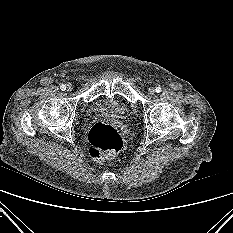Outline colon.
Listing matches in <instances>:
<instances>
[{
    "label": "colon",
    "instance_id": "colon-1",
    "mask_svg": "<svg viewBox=\"0 0 233 233\" xmlns=\"http://www.w3.org/2000/svg\"><path fill=\"white\" fill-rule=\"evenodd\" d=\"M90 155L94 160L111 158L123 147V140L118 131L110 124L97 122L89 131Z\"/></svg>",
    "mask_w": 233,
    "mask_h": 233
}]
</instances>
